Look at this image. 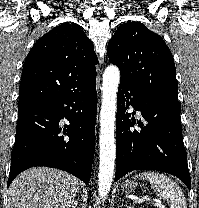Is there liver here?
<instances>
[{
  "label": "liver",
  "mask_w": 199,
  "mask_h": 208,
  "mask_svg": "<svg viewBox=\"0 0 199 208\" xmlns=\"http://www.w3.org/2000/svg\"><path fill=\"white\" fill-rule=\"evenodd\" d=\"M81 186L65 171L33 167L11 183L8 208H70Z\"/></svg>",
  "instance_id": "liver-1"
}]
</instances>
